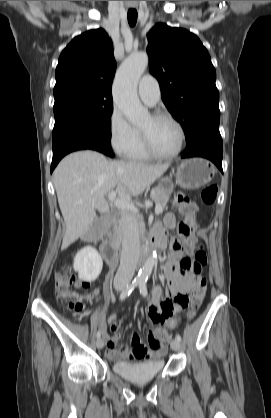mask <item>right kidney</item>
I'll list each match as a JSON object with an SVG mask.
<instances>
[{"label":"right kidney","mask_w":271,"mask_h":418,"mask_svg":"<svg viewBox=\"0 0 271 418\" xmlns=\"http://www.w3.org/2000/svg\"><path fill=\"white\" fill-rule=\"evenodd\" d=\"M103 261L98 251L87 246L81 249L74 258L73 268L78 272L79 279L92 282L100 275Z\"/></svg>","instance_id":"ca27d5eb"}]
</instances>
